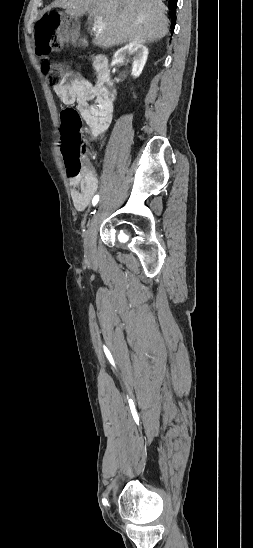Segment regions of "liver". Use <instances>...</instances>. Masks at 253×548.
I'll list each match as a JSON object with an SVG mask.
<instances>
[{
	"label": "liver",
	"mask_w": 253,
	"mask_h": 548,
	"mask_svg": "<svg viewBox=\"0 0 253 548\" xmlns=\"http://www.w3.org/2000/svg\"><path fill=\"white\" fill-rule=\"evenodd\" d=\"M51 8H62L71 18L87 12L101 16L104 27L93 39L98 47L109 48L127 42L153 43L168 33L169 20L161 0H55Z\"/></svg>",
	"instance_id": "liver-1"
}]
</instances>
